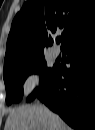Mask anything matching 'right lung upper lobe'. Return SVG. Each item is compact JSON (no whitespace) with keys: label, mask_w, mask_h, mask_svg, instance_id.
Here are the masks:
<instances>
[{"label":"right lung upper lobe","mask_w":95,"mask_h":130,"mask_svg":"<svg viewBox=\"0 0 95 130\" xmlns=\"http://www.w3.org/2000/svg\"><path fill=\"white\" fill-rule=\"evenodd\" d=\"M62 30V49L95 31L94 0H28L13 20L4 71L44 58L52 35Z\"/></svg>","instance_id":"cb5924a9"}]
</instances>
